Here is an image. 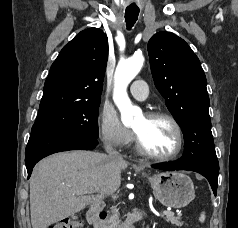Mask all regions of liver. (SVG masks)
<instances>
[{
    "label": "liver",
    "mask_w": 238,
    "mask_h": 228,
    "mask_svg": "<svg viewBox=\"0 0 238 228\" xmlns=\"http://www.w3.org/2000/svg\"><path fill=\"white\" fill-rule=\"evenodd\" d=\"M123 158L70 151L40 161L30 178L32 228H47L113 194L128 167Z\"/></svg>",
    "instance_id": "obj_1"
}]
</instances>
